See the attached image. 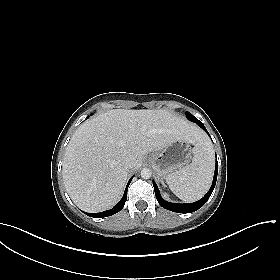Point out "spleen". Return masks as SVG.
I'll return each mask as SVG.
<instances>
[{
	"mask_svg": "<svg viewBox=\"0 0 280 280\" xmlns=\"http://www.w3.org/2000/svg\"><path fill=\"white\" fill-rule=\"evenodd\" d=\"M193 158L189 165L169 174L166 182L170 190L185 202H194L208 191L214 171V152L205 140L193 148Z\"/></svg>",
	"mask_w": 280,
	"mask_h": 280,
	"instance_id": "obj_1",
	"label": "spleen"
}]
</instances>
